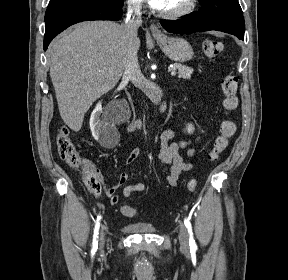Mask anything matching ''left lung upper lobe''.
Masks as SVG:
<instances>
[{"instance_id": "left-lung-upper-lobe-1", "label": "left lung upper lobe", "mask_w": 288, "mask_h": 280, "mask_svg": "<svg viewBox=\"0 0 288 280\" xmlns=\"http://www.w3.org/2000/svg\"><path fill=\"white\" fill-rule=\"evenodd\" d=\"M199 3L205 15L245 29L243 12L237 0H199Z\"/></svg>"}]
</instances>
